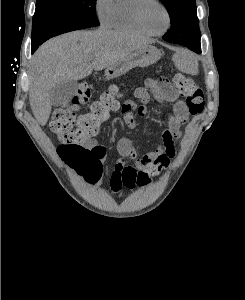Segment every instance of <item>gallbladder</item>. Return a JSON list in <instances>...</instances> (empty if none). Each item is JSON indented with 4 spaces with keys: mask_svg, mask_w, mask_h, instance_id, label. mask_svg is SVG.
Here are the masks:
<instances>
[{
    "mask_svg": "<svg viewBox=\"0 0 245 300\" xmlns=\"http://www.w3.org/2000/svg\"><path fill=\"white\" fill-rule=\"evenodd\" d=\"M78 90L77 81H67L56 85L50 92L53 106H63L70 102Z\"/></svg>",
    "mask_w": 245,
    "mask_h": 300,
    "instance_id": "gallbladder-1",
    "label": "gallbladder"
}]
</instances>
